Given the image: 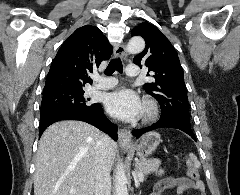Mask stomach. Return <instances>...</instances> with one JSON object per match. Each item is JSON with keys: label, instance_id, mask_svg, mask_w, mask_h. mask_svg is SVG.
Here are the masks:
<instances>
[{"label": "stomach", "instance_id": "obj_1", "mask_svg": "<svg viewBox=\"0 0 240 195\" xmlns=\"http://www.w3.org/2000/svg\"><path fill=\"white\" fill-rule=\"evenodd\" d=\"M161 141V135L158 131H147V133H143L133 145H123L124 149H128V151H135V155L137 157H144V159H148V155L155 151L156 147H158Z\"/></svg>", "mask_w": 240, "mask_h": 195}]
</instances>
